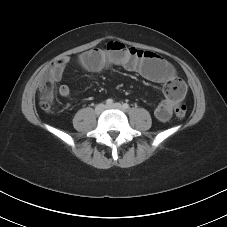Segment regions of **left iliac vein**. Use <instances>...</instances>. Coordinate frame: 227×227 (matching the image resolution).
Returning <instances> with one entry per match:
<instances>
[{
    "label": "left iliac vein",
    "mask_w": 227,
    "mask_h": 227,
    "mask_svg": "<svg viewBox=\"0 0 227 227\" xmlns=\"http://www.w3.org/2000/svg\"><path fill=\"white\" fill-rule=\"evenodd\" d=\"M108 109H118L120 111H125V109L123 108V106L120 103H114L112 105H108L107 106Z\"/></svg>",
    "instance_id": "1"
}]
</instances>
